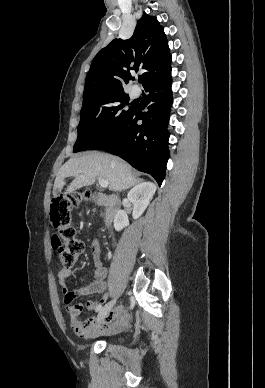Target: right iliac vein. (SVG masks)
Wrapping results in <instances>:
<instances>
[{
	"instance_id": "63e3f726",
	"label": "right iliac vein",
	"mask_w": 265,
	"mask_h": 388,
	"mask_svg": "<svg viewBox=\"0 0 265 388\" xmlns=\"http://www.w3.org/2000/svg\"><path fill=\"white\" fill-rule=\"evenodd\" d=\"M116 303V300H113L109 303H107L99 312L98 316H97V319L98 321H102L107 315L108 313L110 312V310L113 308V306L115 305Z\"/></svg>"
}]
</instances>
